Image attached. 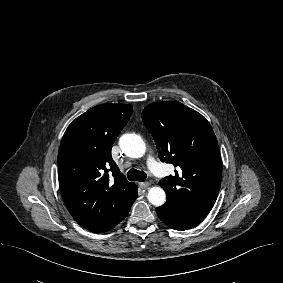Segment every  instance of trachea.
Here are the masks:
<instances>
[{"instance_id":"obj_1","label":"trachea","mask_w":283,"mask_h":283,"mask_svg":"<svg viewBox=\"0 0 283 283\" xmlns=\"http://www.w3.org/2000/svg\"><path fill=\"white\" fill-rule=\"evenodd\" d=\"M127 177L130 181L144 182L147 178V175L144 171H140V170H136V169H130L127 172Z\"/></svg>"}]
</instances>
